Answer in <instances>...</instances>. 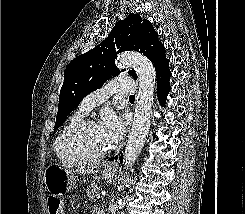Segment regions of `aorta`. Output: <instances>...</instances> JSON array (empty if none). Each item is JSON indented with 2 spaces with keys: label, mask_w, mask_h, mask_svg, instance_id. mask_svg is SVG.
<instances>
[{
  "label": "aorta",
  "mask_w": 245,
  "mask_h": 214,
  "mask_svg": "<svg viewBox=\"0 0 245 214\" xmlns=\"http://www.w3.org/2000/svg\"><path fill=\"white\" fill-rule=\"evenodd\" d=\"M116 64L118 67L132 66L137 73L139 82L134 121L124 151V167L128 169L135 163L148 137L156 71L153 64L145 56L137 52L120 54L116 59Z\"/></svg>",
  "instance_id": "obj_1"
}]
</instances>
